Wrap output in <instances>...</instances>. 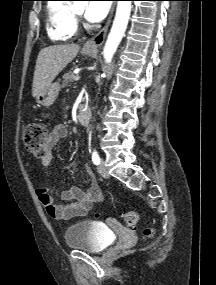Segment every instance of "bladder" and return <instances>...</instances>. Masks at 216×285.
I'll use <instances>...</instances> for the list:
<instances>
[{
    "instance_id": "1",
    "label": "bladder",
    "mask_w": 216,
    "mask_h": 285,
    "mask_svg": "<svg viewBox=\"0 0 216 285\" xmlns=\"http://www.w3.org/2000/svg\"><path fill=\"white\" fill-rule=\"evenodd\" d=\"M64 237L68 247L89 253L104 251L114 240L106 226L91 221H79L70 225Z\"/></svg>"
}]
</instances>
